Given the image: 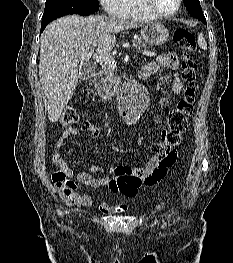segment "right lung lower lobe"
I'll list each match as a JSON object with an SVG mask.
<instances>
[{"mask_svg": "<svg viewBox=\"0 0 233 263\" xmlns=\"http://www.w3.org/2000/svg\"><path fill=\"white\" fill-rule=\"evenodd\" d=\"M91 13H86V12H83V13H81V15H83V16H87V15H90ZM49 22H42L41 23V32L45 29V27L47 26V24H48Z\"/></svg>", "mask_w": 233, "mask_h": 263, "instance_id": "right-lung-lower-lobe-1", "label": "right lung lower lobe"}]
</instances>
